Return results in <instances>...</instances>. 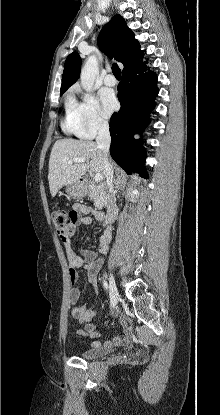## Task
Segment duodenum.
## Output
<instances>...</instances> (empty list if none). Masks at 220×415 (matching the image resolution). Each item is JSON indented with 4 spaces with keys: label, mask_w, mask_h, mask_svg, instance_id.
Listing matches in <instances>:
<instances>
[{
    "label": "duodenum",
    "mask_w": 220,
    "mask_h": 415,
    "mask_svg": "<svg viewBox=\"0 0 220 415\" xmlns=\"http://www.w3.org/2000/svg\"><path fill=\"white\" fill-rule=\"evenodd\" d=\"M105 187H102V190H104ZM118 211H119V207L116 203H114L113 201H110L107 207V216H106V220L105 223L107 225V227L111 224V222L117 217L118 215Z\"/></svg>",
    "instance_id": "obj_1"
}]
</instances>
